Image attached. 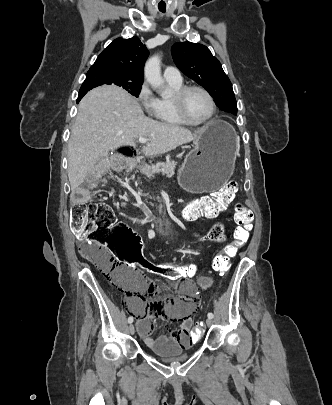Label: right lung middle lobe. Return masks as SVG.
<instances>
[{"label": "right lung middle lobe", "instance_id": "1", "mask_svg": "<svg viewBox=\"0 0 332 405\" xmlns=\"http://www.w3.org/2000/svg\"><path fill=\"white\" fill-rule=\"evenodd\" d=\"M143 79L127 76L123 73L112 71H96L87 73L80 92L89 91L103 84H115L127 90L130 94L138 97Z\"/></svg>", "mask_w": 332, "mask_h": 405}]
</instances>
